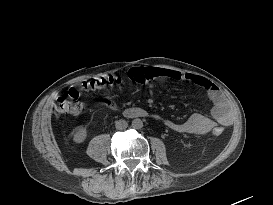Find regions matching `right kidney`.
I'll return each mask as SVG.
<instances>
[{
  "label": "right kidney",
  "instance_id": "1",
  "mask_svg": "<svg viewBox=\"0 0 273 205\" xmlns=\"http://www.w3.org/2000/svg\"><path fill=\"white\" fill-rule=\"evenodd\" d=\"M86 136V129L84 127H79L78 131L74 134V140L80 143L85 140Z\"/></svg>",
  "mask_w": 273,
  "mask_h": 205
}]
</instances>
